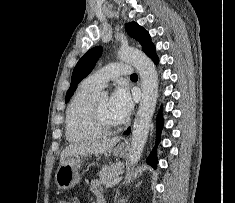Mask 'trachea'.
<instances>
[{"label":"trachea","instance_id":"1","mask_svg":"<svg viewBox=\"0 0 235 203\" xmlns=\"http://www.w3.org/2000/svg\"><path fill=\"white\" fill-rule=\"evenodd\" d=\"M131 77H137V74H136V73H133V74L131 75Z\"/></svg>","mask_w":235,"mask_h":203}]
</instances>
